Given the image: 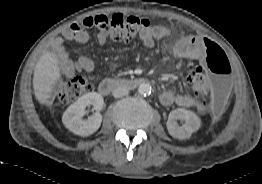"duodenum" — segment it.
Instances as JSON below:
<instances>
[{"label":"duodenum","mask_w":262,"mask_h":184,"mask_svg":"<svg viewBox=\"0 0 262 184\" xmlns=\"http://www.w3.org/2000/svg\"><path fill=\"white\" fill-rule=\"evenodd\" d=\"M146 82L147 80L141 77L123 79L107 78L99 83L98 91L100 94L106 96L109 95L116 88H135Z\"/></svg>","instance_id":"obj_1"}]
</instances>
